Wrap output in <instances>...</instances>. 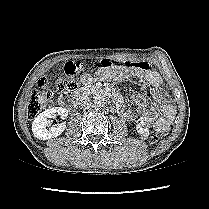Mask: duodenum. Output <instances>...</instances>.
Wrapping results in <instances>:
<instances>
[{
    "mask_svg": "<svg viewBox=\"0 0 209 209\" xmlns=\"http://www.w3.org/2000/svg\"><path fill=\"white\" fill-rule=\"evenodd\" d=\"M90 92L96 94V95H102V96H109L112 98V100L115 103H120L121 102V96L118 93L106 90V89H93L89 90L87 88H82L76 91L72 95H64L62 100L60 98V105L63 107H73L76 105L82 97L85 95L89 94Z\"/></svg>",
    "mask_w": 209,
    "mask_h": 209,
    "instance_id": "duodenum-1",
    "label": "duodenum"
}]
</instances>
